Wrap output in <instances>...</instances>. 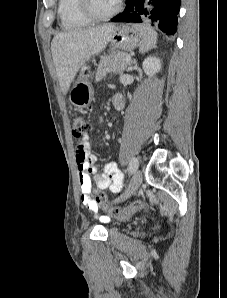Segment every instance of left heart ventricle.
I'll return each mask as SVG.
<instances>
[{"label":"left heart ventricle","mask_w":227,"mask_h":298,"mask_svg":"<svg viewBox=\"0 0 227 298\" xmlns=\"http://www.w3.org/2000/svg\"><path fill=\"white\" fill-rule=\"evenodd\" d=\"M118 0H91V5L95 13L104 15L114 9Z\"/></svg>","instance_id":"obj_1"}]
</instances>
